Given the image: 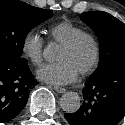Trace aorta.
<instances>
[{
    "label": "aorta",
    "mask_w": 125,
    "mask_h": 125,
    "mask_svg": "<svg viewBox=\"0 0 125 125\" xmlns=\"http://www.w3.org/2000/svg\"><path fill=\"white\" fill-rule=\"evenodd\" d=\"M43 57L47 61H52L55 58V49L52 44L44 49ZM60 106L65 112L74 113L81 106V98L76 92H66L60 98Z\"/></svg>",
    "instance_id": "obj_1"
}]
</instances>
